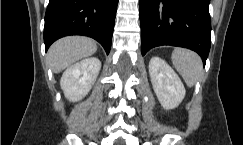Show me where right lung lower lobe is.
Segmentation results:
<instances>
[{
  "mask_svg": "<svg viewBox=\"0 0 243 145\" xmlns=\"http://www.w3.org/2000/svg\"><path fill=\"white\" fill-rule=\"evenodd\" d=\"M118 0H50L44 26L45 49L68 35L97 40L109 54Z\"/></svg>",
  "mask_w": 243,
  "mask_h": 145,
  "instance_id": "1",
  "label": "right lung lower lobe"
}]
</instances>
